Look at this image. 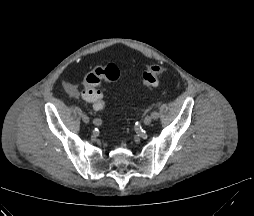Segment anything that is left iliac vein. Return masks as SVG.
I'll list each match as a JSON object with an SVG mask.
<instances>
[{
	"mask_svg": "<svg viewBox=\"0 0 254 216\" xmlns=\"http://www.w3.org/2000/svg\"><path fill=\"white\" fill-rule=\"evenodd\" d=\"M143 122L145 125H149L152 122V117L150 115L146 116Z\"/></svg>",
	"mask_w": 254,
	"mask_h": 216,
	"instance_id": "obj_1",
	"label": "left iliac vein"
}]
</instances>
